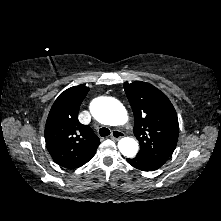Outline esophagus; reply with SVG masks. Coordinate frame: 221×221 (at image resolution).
Returning a JSON list of instances; mask_svg holds the SVG:
<instances>
[{"label": "esophagus", "instance_id": "34e87169", "mask_svg": "<svg viewBox=\"0 0 221 221\" xmlns=\"http://www.w3.org/2000/svg\"><path fill=\"white\" fill-rule=\"evenodd\" d=\"M124 136V133L119 130H113L111 133V138L114 140H118Z\"/></svg>", "mask_w": 221, "mask_h": 221}]
</instances>
